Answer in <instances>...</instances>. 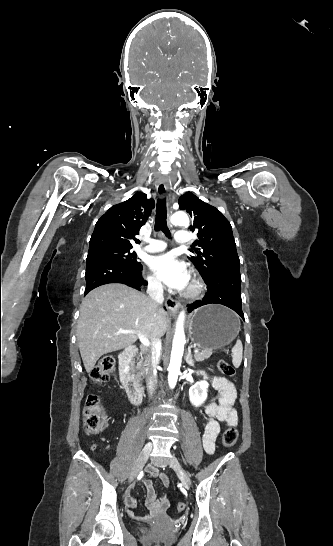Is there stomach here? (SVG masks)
Segmentation results:
<instances>
[{"label": "stomach", "mask_w": 333, "mask_h": 546, "mask_svg": "<svg viewBox=\"0 0 333 546\" xmlns=\"http://www.w3.org/2000/svg\"><path fill=\"white\" fill-rule=\"evenodd\" d=\"M238 319L230 309L211 304L197 309L190 320V338L201 349H221L238 334Z\"/></svg>", "instance_id": "1"}]
</instances>
